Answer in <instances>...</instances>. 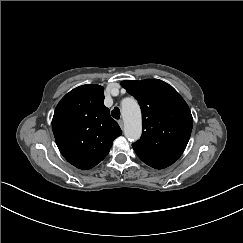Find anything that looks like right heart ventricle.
Masks as SVG:
<instances>
[{
  "instance_id": "e07e8e85",
  "label": "right heart ventricle",
  "mask_w": 243,
  "mask_h": 243,
  "mask_svg": "<svg viewBox=\"0 0 243 243\" xmlns=\"http://www.w3.org/2000/svg\"><path fill=\"white\" fill-rule=\"evenodd\" d=\"M130 101H132V99L131 98H128L124 102L126 103V102H130Z\"/></svg>"
}]
</instances>
